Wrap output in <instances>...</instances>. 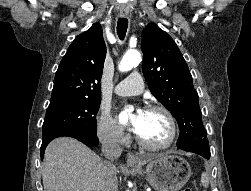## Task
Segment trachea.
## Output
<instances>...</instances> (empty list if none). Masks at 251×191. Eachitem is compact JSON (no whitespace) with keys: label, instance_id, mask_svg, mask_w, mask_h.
I'll use <instances>...</instances> for the list:
<instances>
[{"label":"trachea","instance_id":"obj_1","mask_svg":"<svg viewBox=\"0 0 251 191\" xmlns=\"http://www.w3.org/2000/svg\"><path fill=\"white\" fill-rule=\"evenodd\" d=\"M128 27L127 18H119L117 23V34L119 39L123 40L125 38Z\"/></svg>","mask_w":251,"mask_h":191}]
</instances>
